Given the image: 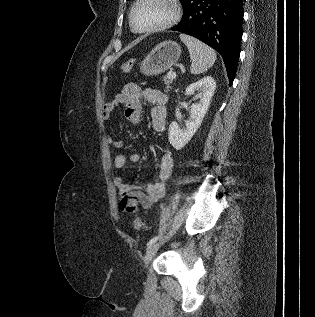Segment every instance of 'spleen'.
I'll list each match as a JSON object with an SVG mask.
<instances>
[{"mask_svg": "<svg viewBox=\"0 0 315 317\" xmlns=\"http://www.w3.org/2000/svg\"><path fill=\"white\" fill-rule=\"evenodd\" d=\"M179 37L188 48L192 61L190 66L192 74L197 75L204 73L213 66L217 56L211 47L186 34H180Z\"/></svg>", "mask_w": 315, "mask_h": 317, "instance_id": "3e777b00", "label": "spleen"}]
</instances>
